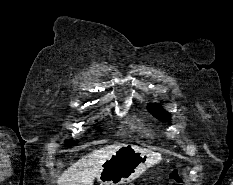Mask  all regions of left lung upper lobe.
<instances>
[{
    "mask_svg": "<svg viewBox=\"0 0 233 185\" xmlns=\"http://www.w3.org/2000/svg\"><path fill=\"white\" fill-rule=\"evenodd\" d=\"M149 111L158 118L161 121H167L169 119V116L167 115L166 111L161 108L159 105H149L147 107Z\"/></svg>",
    "mask_w": 233,
    "mask_h": 185,
    "instance_id": "left-lung-upper-lobe-1",
    "label": "left lung upper lobe"
}]
</instances>
